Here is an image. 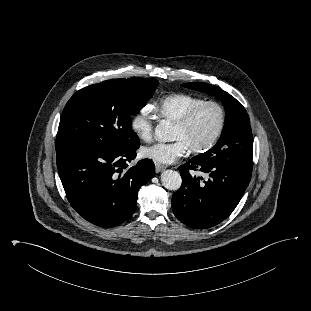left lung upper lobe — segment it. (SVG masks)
I'll use <instances>...</instances> for the list:
<instances>
[{
	"instance_id": "left-lung-upper-lobe-1",
	"label": "left lung upper lobe",
	"mask_w": 311,
	"mask_h": 311,
	"mask_svg": "<svg viewBox=\"0 0 311 311\" xmlns=\"http://www.w3.org/2000/svg\"><path fill=\"white\" fill-rule=\"evenodd\" d=\"M184 87L219 97L226 110L225 125L216 145L195 157L204 160L253 158V137L245 108L230 94L208 83H185Z\"/></svg>"
}]
</instances>
